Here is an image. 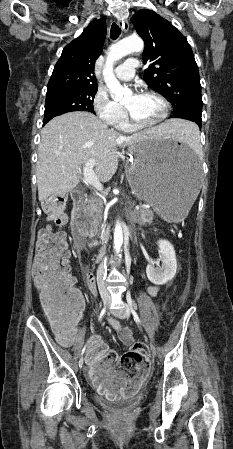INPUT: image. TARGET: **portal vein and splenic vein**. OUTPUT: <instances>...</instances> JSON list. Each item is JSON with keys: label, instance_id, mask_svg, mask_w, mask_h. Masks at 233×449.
Instances as JSON below:
<instances>
[{"label": "portal vein and splenic vein", "instance_id": "1", "mask_svg": "<svg viewBox=\"0 0 233 449\" xmlns=\"http://www.w3.org/2000/svg\"><path fill=\"white\" fill-rule=\"evenodd\" d=\"M96 161L95 159H90L85 163V166L83 167V174L84 178L87 183L92 185L94 188H96L98 191H103V186L100 183L98 177L93 171V167L95 166Z\"/></svg>", "mask_w": 233, "mask_h": 449}]
</instances>
